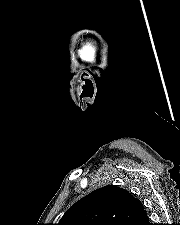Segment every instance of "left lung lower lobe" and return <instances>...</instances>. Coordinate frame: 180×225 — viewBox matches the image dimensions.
I'll use <instances>...</instances> for the list:
<instances>
[{"label": "left lung lower lobe", "instance_id": "left-lung-lower-lobe-1", "mask_svg": "<svg viewBox=\"0 0 180 225\" xmlns=\"http://www.w3.org/2000/svg\"><path fill=\"white\" fill-rule=\"evenodd\" d=\"M130 225H149L146 213H142L139 217L133 220Z\"/></svg>", "mask_w": 180, "mask_h": 225}]
</instances>
